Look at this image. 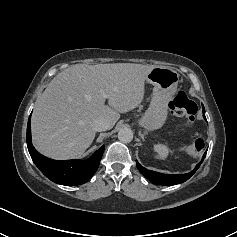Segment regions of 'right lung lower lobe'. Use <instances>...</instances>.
Returning <instances> with one entry per match:
<instances>
[{
  "mask_svg": "<svg viewBox=\"0 0 237 237\" xmlns=\"http://www.w3.org/2000/svg\"><path fill=\"white\" fill-rule=\"evenodd\" d=\"M30 118L27 125V147L30 156L39 170L51 181L61 185H80L86 183L96 172L105 146L100 147L88 160L56 161L41 155L31 142Z\"/></svg>",
  "mask_w": 237,
  "mask_h": 237,
  "instance_id": "right-lung-lower-lobe-1",
  "label": "right lung lower lobe"
}]
</instances>
